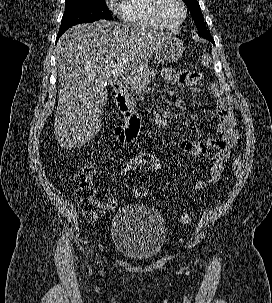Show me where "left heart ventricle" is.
Segmentation results:
<instances>
[{"instance_id":"left-heart-ventricle-1","label":"left heart ventricle","mask_w":272,"mask_h":303,"mask_svg":"<svg viewBox=\"0 0 272 303\" xmlns=\"http://www.w3.org/2000/svg\"><path fill=\"white\" fill-rule=\"evenodd\" d=\"M160 12L162 18L169 24L177 23L182 17V8L177 0H163Z\"/></svg>"}]
</instances>
